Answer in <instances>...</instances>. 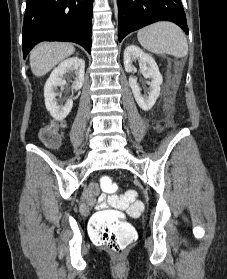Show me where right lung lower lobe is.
Returning a JSON list of instances; mask_svg holds the SVG:
<instances>
[{"instance_id": "1", "label": "right lung lower lobe", "mask_w": 227, "mask_h": 279, "mask_svg": "<svg viewBox=\"0 0 227 279\" xmlns=\"http://www.w3.org/2000/svg\"><path fill=\"white\" fill-rule=\"evenodd\" d=\"M93 0H26L24 58L41 41H67L91 53Z\"/></svg>"}]
</instances>
